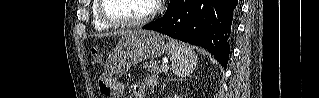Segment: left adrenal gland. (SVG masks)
<instances>
[{"instance_id":"obj_1","label":"left adrenal gland","mask_w":319,"mask_h":98,"mask_svg":"<svg viewBox=\"0 0 319 98\" xmlns=\"http://www.w3.org/2000/svg\"><path fill=\"white\" fill-rule=\"evenodd\" d=\"M167 82V81H166ZM166 85V83L163 84V87Z\"/></svg>"}]
</instances>
